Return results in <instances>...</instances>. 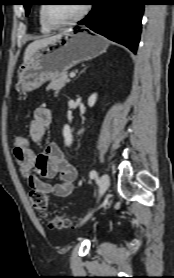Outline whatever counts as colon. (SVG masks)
<instances>
[{"mask_svg":"<svg viewBox=\"0 0 174 278\" xmlns=\"http://www.w3.org/2000/svg\"><path fill=\"white\" fill-rule=\"evenodd\" d=\"M30 144L28 138L23 136H17L14 141V147L19 150L24 149ZM29 198L34 209L41 215H46L48 207L47 195L41 191L32 190L29 194ZM51 228L62 229L71 225V220L65 217H54L49 223Z\"/></svg>","mask_w":174,"mask_h":278,"instance_id":"obj_1","label":"colon"}]
</instances>
